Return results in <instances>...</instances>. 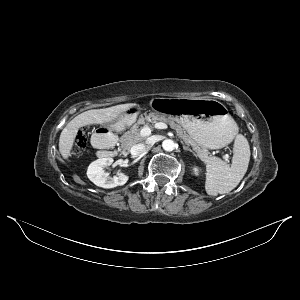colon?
Wrapping results in <instances>:
<instances>
[{"mask_svg": "<svg viewBox=\"0 0 300 300\" xmlns=\"http://www.w3.org/2000/svg\"><path fill=\"white\" fill-rule=\"evenodd\" d=\"M87 144V136L85 131H80L75 138L74 145L71 149V155L74 157H78L83 152L84 148Z\"/></svg>", "mask_w": 300, "mask_h": 300, "instance_id": "colon-1", "label": "colon"}]
</instances>
